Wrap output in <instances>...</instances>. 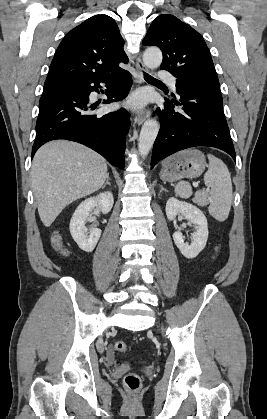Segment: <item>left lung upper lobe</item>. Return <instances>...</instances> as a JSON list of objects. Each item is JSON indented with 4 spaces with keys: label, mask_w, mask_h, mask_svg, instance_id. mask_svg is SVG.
<instances>
[{
    "label": "left lung upper lobe",
    "mask_w": 267,
    "mask_h": 419,
    "mask_svg": "<svg viewBox=\"0 0 267 419\" xmlns=\"http://www.w3.org/2000/svg\"><path fill=\"white\" fill-rule=\"evenodd\" d=\"M143 45H155L162 50L160 68L177 78L178 93L206 87L220 89L211 54L203 37L175 16L164 14L155 18Z\"/></svg>",
    "instance_id": "5c2ea615"
}]
</instances>
